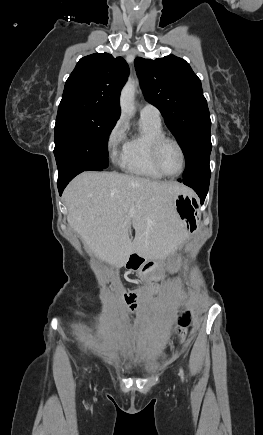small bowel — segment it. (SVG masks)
Masks as SVG:
<instances>
[{"label":"small bowel","instance_id":"1","mask_svg":"<svg viewBox=\"0 0 263 435\" xmlns=\"http://www.w3.org/2000/svg\"><path fill=\"white\" fill-rule=\"evenodd\" d=\"M127 304L129 305L131 312L132 313H136V311H137V304H136V302H128ZM167 347L170 350H173L176 347V344L173 341H170L167 344Z\"/></svg>","mask_w":263,"mask_h":435}]
</instances>
